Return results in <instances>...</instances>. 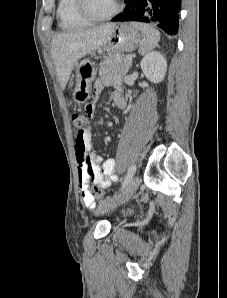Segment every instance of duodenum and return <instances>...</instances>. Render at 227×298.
I'll use <instances>...</instances> for the list:
<instances>
[{"label": "duodenum", "instance_id": "obj_1", "mask_svg": "<svg viewBox=\"0 0 227 298\" xmlns=\"http://www.w3.org/2000/svg\"><path fill=\"white\" fill-rule=\"evenodd\" d=\"M115 104H116V106H117V107H119V108H121V107H122V104H121V102H120V101H116V103H115Z\"/></svg>", "mask_w": 227, "mask_h": 298}]
</instances>
